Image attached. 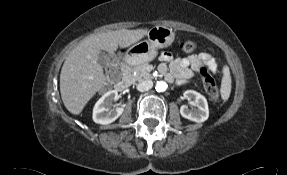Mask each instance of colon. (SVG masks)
Here are the masks:
<instances>
[{
  "mask_svg": "<svg viewBox=\"0 0 287 175\" xmlns=\"http://www.w3.org/2000/svg\"><path fill=\"white\" fill-rule=\"evenodd\" d=\"M196 48H197V43L193 40H186L180 44V49L184 53L193 52L194 50H196ZM198 72L202 78L204 88H205L206 92L208 93V95L210 96V98L213 101H218L219 91H218V88L215 84L213 77L211 76V74L209 72L208 67L205 65H202L199 68ZM117 77H118V73H117V71H115L112 75V78L116 79Z\"/></svg>",
  "mask_w": 287,
  "mask_h": 175,
  "instance_id": "obj_1",
  "label": "colon"
}]
</instances>
